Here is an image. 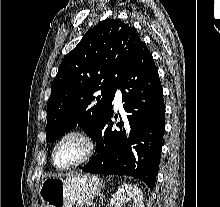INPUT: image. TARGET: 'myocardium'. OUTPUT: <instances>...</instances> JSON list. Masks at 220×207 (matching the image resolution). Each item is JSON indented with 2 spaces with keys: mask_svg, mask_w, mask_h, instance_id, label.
<instances>
[{
  "mask_svg": "<svg viewBox=\"0 0 220 207\" xmlns=\"http://www.w3.org/2000/svg\"><path fill=\"white\" fill-rule=\"evenodd\" d=\"M72 137L78 138L84 143L85 152L82 155V157L79 158L78 160H76L75 162H72V163H69L66 165H58L56 162L57 149L63 141H65L68 138H72ZM95 151H96V142L88 132H86L83 129H79V128L69 129V130L65 131L64 133H62L59 136V138L56 140V142L53 146V149H52L51 160H52V163L55 168H57L59 170H67V169L78 167V166L86 163L88 160H90L92 158Z\"/></svg>",
  "mask_w": 220,
  "mask_h": 207,
  "instance_id": "1",
  "label": "myocardium"
}]
</instances>
